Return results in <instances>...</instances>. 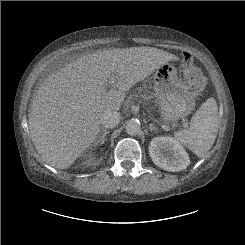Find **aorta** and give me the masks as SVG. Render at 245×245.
<instances>
[{"instance_id": "762f6f07", "label": "aorta", "mask_w": 245, "mask_h": 245, "mask_svg": "<svg viewBox=\"0 0 245 245\" xmlns=\"http://www.w3.org/2000/svg\"><path fill=\"white\" fill-rule=\"evenodd\" d=\"M125 130L129 135H137L141 131V125L139 121L130 120L127 122Z\"/></svg>"}]
</instances>
